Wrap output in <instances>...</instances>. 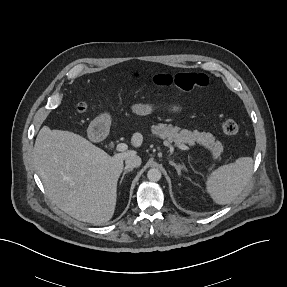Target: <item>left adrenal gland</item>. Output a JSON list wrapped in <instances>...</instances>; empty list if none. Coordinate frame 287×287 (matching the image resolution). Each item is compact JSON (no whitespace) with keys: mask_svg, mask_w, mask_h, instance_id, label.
<instances>
[{"mask_svg":"<svg viewBox=\"0 0 287 287\" xmlns=\"http://www.w3.org/2000/svg\"><path fill=\"white\" fill-rule=\"evenodd\" d=\"M169 164L175 167V169L177 170V173L181 175V170H184L183 166L174 163L172 160H169Z\"/></svg>","mask_w":287,"mask_h":287,"instance_id":"1","label":"left adrenal gland"}]
</instances>
